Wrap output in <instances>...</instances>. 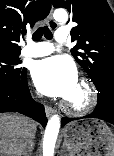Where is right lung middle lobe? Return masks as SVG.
<instances>
[{
  "mask_svg": "<svg viewBox=\"0 0 114 156\" xmlns=\"http://www.w3.org/2000/svg\"><path fill=\"white\" fill-rule=\"evenodd\" d=\"M20 51L6 52L0 50V86L18 84L26 74V68L19 65Z\"/></svg>",
  "mask_w": 114,
  "mask_h": 156,
  "instance_id": "obj_1",
  "label": "right lung middle lobe"
}]
</instances>
